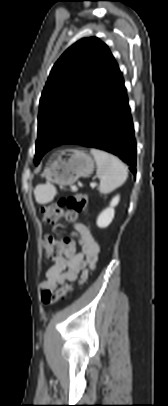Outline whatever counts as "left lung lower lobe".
I'll return each mask as SVG.
<instances>
[{"instance_id":"1","label":"left lung lower lobe","mask_w":168,"mask_h":406,"mask_svg":"<svg viewBox=\"0 0 168 406\" xmlns=\"http://www.w3.org/2000/svg\"><path fill=\"white\" fill-rule=\"evenodd\" d=\"M63 144L82 145L112 153L132 166L129 169L136 174L134 127L120 70L98 99L80 130Z\"/></svg>"}]
</instances>
